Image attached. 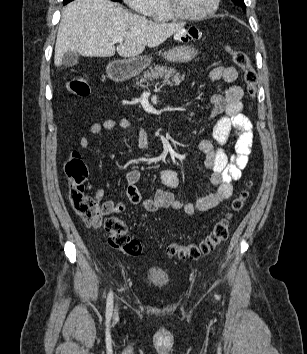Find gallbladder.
Instances as JSON below:
<instances>
[{"label": "gallbladder", "mask_w": 307, "mask_h": 354, "mask_svg": "<svg viewBox=\"0 0 307 354\" xmlns=\"http://www.w3.org/2000/svg\"><path fill=\"white\" fill-rule=\"evenodd\" d=\"M78 61H79V55L78 53L75 52L69 51L65 53L62 57V64L67 67L76 65Z\"/></svg>", "instance_id": "bac80fb5"}]
</instances>
